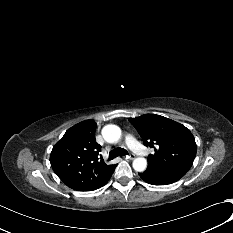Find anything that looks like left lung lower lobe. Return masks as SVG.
<instances>
[{
  "label": "left lung lower lobe",
  "instance_id": "obj_1",
  "mask_svg": "<svg viewBox=\"0 0 233 233\" xmlns=\"http://www.w3.org/2000/svg\"><path fill=\"white\" fill-rule=\"evenodd\" d=\"M139 175L146 183L151 185H168L176 182L148 167L143 173H139Z\"/></svg>",
  "mask_w": 233,
  "mask_h": 233
}]
</instances>
